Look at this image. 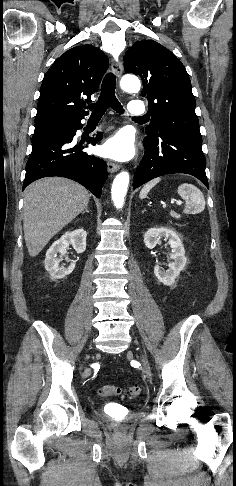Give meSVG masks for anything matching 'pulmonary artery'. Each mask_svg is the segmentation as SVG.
<instances>
[{
  "label": "pulmonary artery",
  "instance_id": "1",
  "mask_svg": "<svg viewBox=\"0 0 236 486\" xmlns=\"http://www.w3.org/2000/svg\"><path fill=\"white\" fill-rule=\"evenodd\" d=\"M129 112L133 116H142L146 113L144 105L137 100L131 101L129 103Z\"/></svg>",
  "mask_w": 236,
  "mask_h": 486
}]
</instances>
